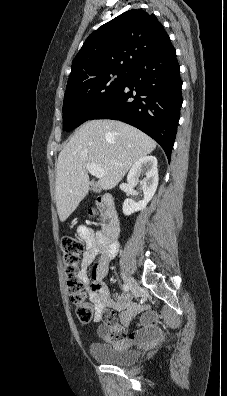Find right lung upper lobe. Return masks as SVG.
<instances>
[{
    "label": "right lung upper lobe",
    "instance_id": "cb5924a9",
    "mask_svg": "<svg viewBox=\"0 0 227 396\" xmlns=\"http://www.w3.org/2000/svg\"><path fill=\"white\" fill-rule=\"evenodd\" d=\"M169 42L154 14L126 11L89 35L73 60L67 87L110 71H129Z\"/></svg>",
    "mask_w": 227,
    "mask_h": 396
}]
</instances>
